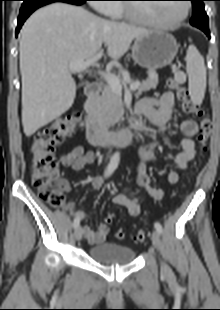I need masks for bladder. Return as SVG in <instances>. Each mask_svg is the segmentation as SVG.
Segmentation results:
<instances>
[{"mask_svg": "<svg viewBox=\"0 0 220 310\" xmlns=\"http://www.w3.org/2000/svg\"><path fill=\"white\" fill-rule=\"evenodd\" d=\"M89 256L100 264H129L135 258V250L118 243L105 242L89 249Z\"/></svg>", "mask_w": 220, "mask_h": 310, "instance_id": "obj_1", "label": "bladder"}]
</instances>
